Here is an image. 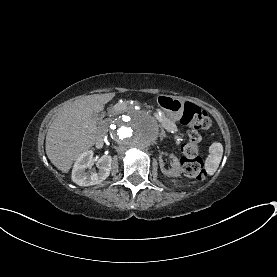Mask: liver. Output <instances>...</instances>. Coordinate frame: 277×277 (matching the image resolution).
<instances>
[{"label":"liver","mask_w":277,"mask_h":277,"mask_svg":"<svg viewBox=\"0 0 277 277\" xmlns=\"http://www.w3.org/2000/svg\"><path fill=\"white\" fill-rule=\"evenodd\" d=\"M117 94L115 92L88 95L64 109L51 123L45 140L48 159L62 173H68L77 158L103 141L106 126L98 129L93 119L105 109V105Z\"/></svg>","instance_id":"1"}]
</instances>
